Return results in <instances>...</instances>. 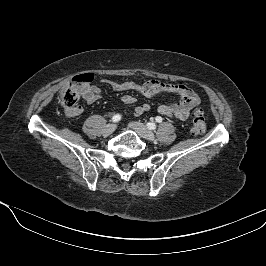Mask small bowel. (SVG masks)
<instances>
[{
  "label": "small bowel",
  "instance_id": "small-bowel-1",
  "mask_svg": "<svg viewBox=\"0 0 266 266\" xmlns=\"http://www.w3.org/2000/svg\"><path fill=\"white\" fill-rule=\"evenodd\" d=\"M102 83L117 92L136 91L145 97H152L158 93H170L179 97V101L173 104H162L158 107L161 115L177 121L186 120L191 111L200 103L198 95L189 87L183 84L164 83L158 80H149L143 84L133 81L116 82L112 80H102ZM102 95L101 89L93 84H86L81 90L82 98L92 104ZM121 101L125 104H133L136 99L134 96L126 94ZM150 110L148 103H143L135 108V116H140ZM81 106H76L72 111L67 112L70 117H77L82 113Z\"/></svg>",
  "mask_w": 266,
  "mask_h": 266
}]
</instances>
